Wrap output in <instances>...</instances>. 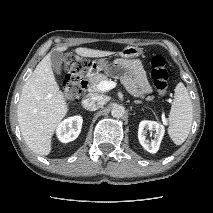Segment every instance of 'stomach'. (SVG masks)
<instances>
[{
    "instance_id": "obj_1",
    "label": "stomach",
    "mask_w": 213,
    "mask_h": 213,
    "mask_svg": "<svg viewBox=\"0 0 213 213\" xmlns=\"http://www.w3.org/2000/svg\"><path fill=\"white\" fill-rule=\"evenodd\" d=\"M142 52H143L142 48H139L137 46H127L121 52H119V56H121L124 59H131L140 56ZM108 67L109 63L107 60L105 59L95 60L91 63L89 67V72L97 73L99 71L107 70Z\"/></svg>"
}]
</instances>
